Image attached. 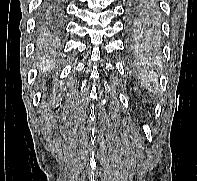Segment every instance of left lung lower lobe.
<instances>
[{
    "label": "left lung lower lobe",
    "mask_w": 197,
    "mask_h": 181,
    "mask_svg": "<svg viewBox=\"0 0 197 181\" xmlns=\"http://www.w3.org/2000/svg\"><path fill=\"white\" fill-rule=\"evenodd\" d=\"M126 38L129 52L143 57L159 51L160 16L157 0H126Z\"/></svg>",
    "instance_id": "left-lung-lower-lobe-1"
}]
</instances>
